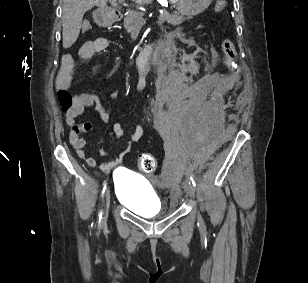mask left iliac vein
<instances>
[{
    "label": "left iliac vein",
    "mask_w": 308,
    "mask_h": 283,
    "mask_svg": "<svg viewBox=\"0 0 308 283\" xmlns=\"http://www.w3.org/2000/svg\"><path fill=\"white\" fill-rule=\"evenodd\" d=\"M184 189H185V192H186V194L188 196L194 197V195H195V188H194V186L192 185V183L189 180H186L184 182Z\"/></svg>",
    "instance_id": "left-iliac-vein-1"
}]
</instances>
